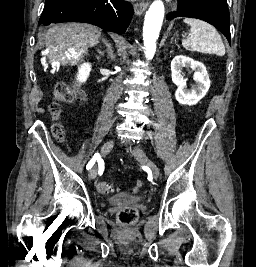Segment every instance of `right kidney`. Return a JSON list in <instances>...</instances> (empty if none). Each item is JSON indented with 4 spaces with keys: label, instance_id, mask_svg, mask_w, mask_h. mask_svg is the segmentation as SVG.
<instances>
[{
    "label": "right kidney",
    "instance_id": "1",
    "mask_svg": "<svg viewBox=\"0 0 256 267\" xmlns=\"http://www.w3.org/2000/svg\"><path fill=\"white\" fill-rule=\"evenodd\" d=\"M91 72V64L89 62H85V64H80L76 76V80L80 82V84H84L86 80H88Z\"/></svg>",
    "mask_w": 256,
    "mask_h": 267
}]
</instances>
